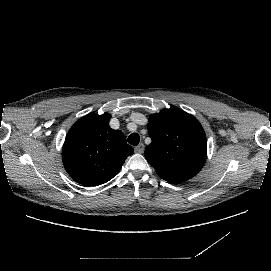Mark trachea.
<instances>
[{"mask_svg": "<svg viewBox=\"0 0 271 271\" xmlns=\"http://www.w3.org/2000/svg\"><path fill=\"white\" fill-rule=\"evenodd\" d=\"M140 142V137L137 133H132L131 135H129L128 137V143L131 145H138Z\"/></svg>", "mask_w": 271, "mask_h": 271, "instance_id": "1", "label": "trachea"}]
</instances>
